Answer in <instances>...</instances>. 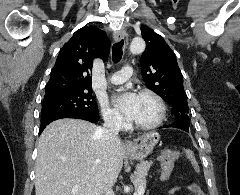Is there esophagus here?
Segmentation results:
<instances>
[{"label": "esophagus", "mask_w": 240, "mask_h": 195, "mask_svg": "<svg viewBox=\"0 0 240 195\" xmlns=\"http://www.w3.org/2000/svg\"><path fill=\"white\" fill-rule=\"evenodd\" d=\"M125 35H126L125 30H123V29L122 30H117V31L114 32V40L116 42H120L121 40L124 39ZM124 147L128 148V149H131L132 148V142L129 141V140H125Z\"/></svg>", "instance_id": "obj_1"}]
</instances>
